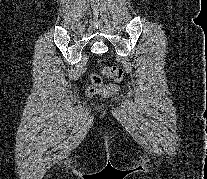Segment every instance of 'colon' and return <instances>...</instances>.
Masks as SVG:
<instances>
[{
	"instance_id": "obj_1",
	"label": "colon",
	"mask_w": 207,
	"mask_h": 179,
	"mask_svg": "<svg viewBox=\"0 0 207 179\" xmlns=\"http://www.w3.org/2000/svg\"><path fill=\"white\" fill-rule=\"evenodd\" d=\"M102 73L115 81H120L124 76V70L116 66L105 67ZM90 81L91 84L86 89L88 96H94L103 91L104 86L100 75L92 74L90 76Z\"/></svg>"
}]
</instances>
